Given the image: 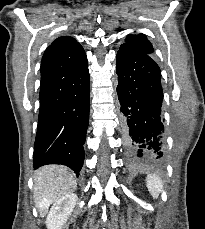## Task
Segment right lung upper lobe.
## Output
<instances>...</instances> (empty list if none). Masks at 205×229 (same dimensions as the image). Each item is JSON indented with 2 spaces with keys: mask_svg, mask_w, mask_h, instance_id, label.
Returning <instances> with one entry per match:
<instances>
[{
  "mask_svg": "<svg viewBox=\"0 0 205 229\" xmlns=\"http://www.w3.org/2000/svg\"><path fill=\"white\" fill-rule=\"evenodd\" d=\"M51 46L56 49V57L68 68H77L87 60L82 46L72 37H59Z\"/></svg>",
  "mask_w": 205,
  "mask_h": 229,
  "instance_id": "1",
  "label": "right lung upper lobe"
}]
</instances>
